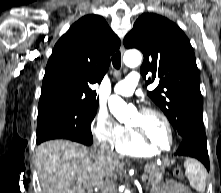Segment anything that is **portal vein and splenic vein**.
<instances>
[{
  "mask_svg": "<svg viewBox=\"0 0 221 193\" xmlns=\"http://www.w3.org/2000/svg\"><path fill=\"white\" fill-rule=\"evenodd\" d=\"M147 178H148L147 174H143L142 177H141V180L143 182H145L147 180Z\"/></svg>",
  "mask_w": 221,
  "mask_h": 193,
  "instance_id": "1",
  "label": "portal vein and splenic vein"
}]
</instances>
